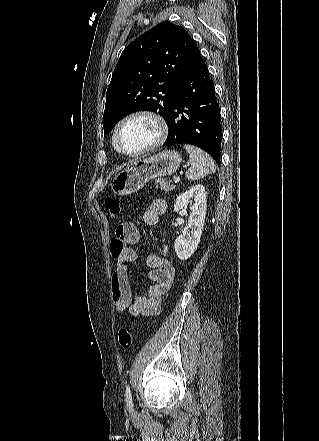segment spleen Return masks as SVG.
<instances>
[{
	"mask_svg": "<svg viewBox=\"0 0 319 441\" xmlns=\"http://www.w3.org/2000/svg\"><path fill=\"white\" fill-rule=\"evenodd\" d=\"M184 147L189 153L191 163V167L185 173L187 179L195 181L215 172V163L207 153L193 145Z\"/></svg>",
	"mask_w": 319,
	"mask_h": 441,
	"instance_id": "3e777b00",
	"label": "spleen"
}]
</instances>
